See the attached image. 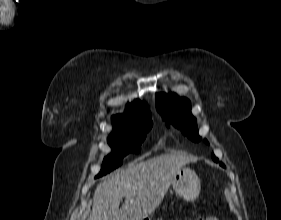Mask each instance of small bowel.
I'll return each mask as SVG.
<instances>
[{
    "mask_svg": "<svg viewBox=\"0 0 281 220\" xmlns=\"http://www.w3.org/2000/svg\"><path fill=\"white\" fill-rule=\"evenodd\" d=\"M202 220H219V219L217 217H215V216H208V217H206V218H204Z\"/></svg>",
    "mask_w": 281,
    "mask_h": 220,
    "instance_id": "obj_1",
    "label": "small bowel"
}]
</instances>
